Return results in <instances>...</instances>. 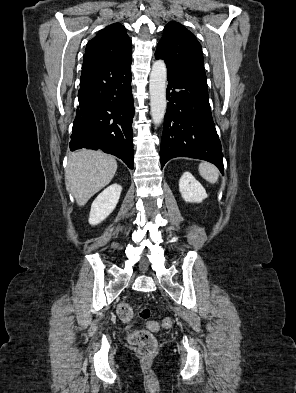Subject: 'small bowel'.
<instances>
[{
    "label": "small bowel",
    "mask_w": 296,
    "mask_h": 393,
    "mask_svg": "<svg viewBox=\"0 0 296 393\" xmlns=\"http://www.w3.org/2000/svg\"><path fill=\"white\" fill-rule=\"evenodd\" d=\"M127 323V327H131L132 326V322L130 321H125Z\"/></svg>",
    "instance_id": "1"
}]
</instances>
